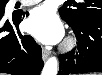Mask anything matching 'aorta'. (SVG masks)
<instances>
[{"label": "aorta", "instance_id": "762f6f07", "mask_svg": "<svg viewBox=\"0 0 102 75\" xmlns=\"http://www.w3.org/2000/svg\"><path fill=\"white\" fill-rule=\"evenodd\" d=\"M58 61L56 57H50L44 65L41 75H57Z\"/></svg>", "mask_w": 102, "mask_h": 75}]
</instances>
